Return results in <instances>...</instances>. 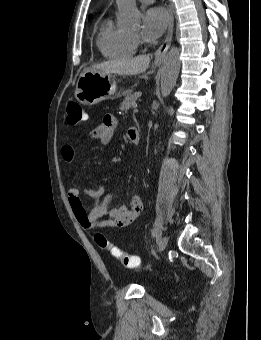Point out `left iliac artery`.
Here are the masks:
<instances>
[{"label": "left iliac artery", "instance_id": "1", "mask_svg": "<svg viewBox=\"0 0 261 340\" xmlns=\"http://www.w3.org/2000/svg\"><path fill=\"white\" fill-rule=\"evenodd\" d=\"M160 235H161V231L158 230V229H156L152 232V236L155 237V238L159 237Z\"/></svg>", "mask_w": 261, "mask_h": 340}]
</instances>
